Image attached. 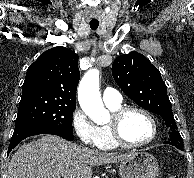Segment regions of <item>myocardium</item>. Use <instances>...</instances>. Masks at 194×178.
Here are the masks:
<instances>
[{"label":"myocardium","mask_w":194,"mask_h":178,"mask_svg":"<svg viewBox=\"0 0 194 178\" xmlns=\"http://www.w3.org/2000/svg\"><path fill=\"white\" fill-rule=\"evenodd\" d=\"M132 111H136L145 115L152 125V135L150 139L142 143H132L128 141L122 133V123L124 118ZM108 128L111 132L112 138L118 146L126 148H141L153 143L158 136V124L155 117L147 109L140 106H124L118 110L112 112L110 122L108 123Z\"/></svg>","instance_id":"myocardium-1"}]
</instances>
